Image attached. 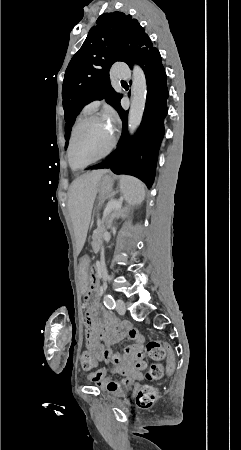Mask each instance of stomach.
Segmentation results:
<instances>
[{"label": "stomach", "instance_id": "stomach-1", "mask_svg": "<svg viewBox=\"0 0 241 450\" xmlns=\"http://www.w3.org/2000/svg\"><path fill=\"white\" fill-rule=\"evenodd\" d=\"M113 179L111 176H103L98 183L100 200L104 199L112 192ZM90 260L87 256L82 257L79 263L78 285L81 291H85L88 285V268Z\"/></svg>", "mask_w": 241, "mask_h": 450}]
</instances>
